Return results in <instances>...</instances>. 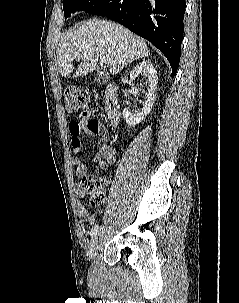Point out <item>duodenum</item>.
Instances as JSON below:
<instances>
[{
    "mask_svg": "<svg viewBox=\"0 0 239 303\" xmlns=\"http://www.w3.org/2000/svg\"><path fill=\"white\" fill-rule=\"evenodd\" d=\"M104 104L108 118L112 125H117L120 119L119 101L117 97V85L110 82L106 85Z\"/></svg>",
    "mask_w": 239,
    "mask_h": 303,
    "instance_id": "410a0bca",
    "label": "duodenum"
}]
</instances>
